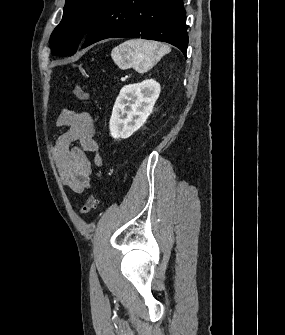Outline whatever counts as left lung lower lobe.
I'll list each match as a JSON object with an SVG mask.
<instances>
[{
	"label": "left lung lower lobe",
	"mask_w": 285,
	"mask_h": 335,
	"mask_svg": "<svg viewBox=\"0 0 285 335\" xmlns=\"http://www.w3.org/2000/svg\"><path fill=\"white\" fill-rule=\"evenodd\" d=\"M183 0H110L87 32L81 48L107 38L157 40L186 57L188 34Z\"/></svg>",
	"instance_id": "obj_1"
}]
</instances>
